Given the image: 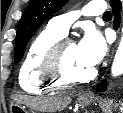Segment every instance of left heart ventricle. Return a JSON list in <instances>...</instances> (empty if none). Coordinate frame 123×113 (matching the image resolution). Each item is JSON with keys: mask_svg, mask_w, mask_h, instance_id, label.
<instances>
[{"mask_svg": "<svg viewBox=\"0 0 123 113\" xmlns=\"http://www.w3.org/2000/svg\"><path fill=\"white\" fill-rule=\"evenodd\" d=\"M64 65L67 72L73 77L85 76L92 69L80 61L76 44H69L66 47L64 53Z\"/></svg>", "mask_w": 123, "mask_h": 113, "instance_id": "left-heart-ventricle-1", "label": "left heart ventricle"}]
</instances>
